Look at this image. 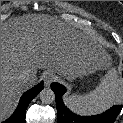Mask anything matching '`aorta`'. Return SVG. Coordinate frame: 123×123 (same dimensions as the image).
Masks as SVG:
<instances>
[{
  "label": "aorta",
  "mask_w": 123,
  "mask_h": 123,
  "mask_svg": "<svg viewBox=\"0 0 123 123\" xmlns=\"http://www.w3.org/2000/svg\"><path fill=\"white\" fill-rule=\"evenodd\" d=\"M40 100L42 103L50 104L55 100V94L51 88H44L40 94Z\"/></svg>",
  "instance_id": "1"
}]
</instances>
